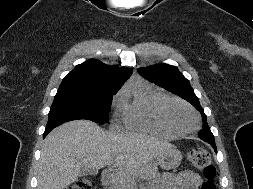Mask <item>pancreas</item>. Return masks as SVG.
<instances>
[{
    "mask_svg": "<svg viewBox=\"0 0 253 189\" xmlns=\"http://www.w3.org/2000/svg\"><path fill=\"white\" fill-rule=\"evenodd\" d=\"M137 172L131 170H119L111 178L108 189H130L132 188ZM142 178L147 180L155 179L159 176L158 168L155 165L145 166L140 171Z\"/></svg>",
    "mask_w": 253,
    "mask_h": 189,
    "instance_id": "obj_1",
    "label": "pancreas"
}]
</instances>
